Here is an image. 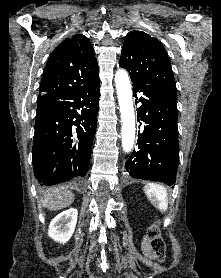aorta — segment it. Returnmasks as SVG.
Here are the masks:
<instances>
[{
    "label": "aorta",
    "instance_id": "762f6f07",
    "mask_svg": "<svg viewBox=\"0 0 221 278\" xmlns=\"http://www.w3.org/2000/svg\"><path fill=\"white\" fill-rule=\"evenodd\" d=\"M115 83L122 119V147L128 153L133 149L135 140V114L132 101L131 83L124 69L117 70Z\"/></svg>",
    "mask_w": 221,
    "mask_h": 278
}]
</instances>
